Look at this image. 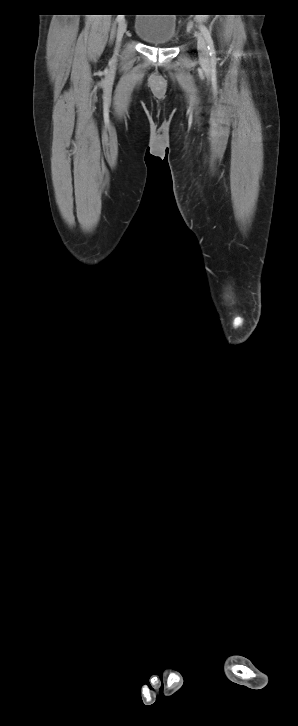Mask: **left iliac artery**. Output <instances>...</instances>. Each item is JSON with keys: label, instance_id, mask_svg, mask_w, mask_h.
Listing matches in <instances>:
<instances>
[{"label": "left iliac artery", "instance_id": "obj_1", "mask_svg": "<svg viewBox=\"0 0 298 726\" xmlns=\"http://www.w3.org/2000/svg\"><path fill=\"white\" fill-rule=\"evenodd\" d=\"M200 30H201V32H202V34H203V36H204V38H205V40L207 42V48H208V51H209V55H210L211 61L214 62L216 60V51H215L214 42H213L211 33L207 29V27L204 26V25H201L200 26Z\"/></svg>", "mask_w": 298, "mask_h": 726}]
</instances>
